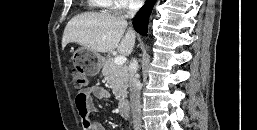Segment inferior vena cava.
Here are the masks:
<instances>
[{"label": "inferior vena cava", "mask_w": 257, "mask_h": 130, "mask_svg": "<svg viewBox=\"0 0 257 130\" xmlns=\"http://www.w3.org/2000/svg\"><path fill=\"white\" fill-rule=\"evenodd\" d=\"M142 0H132L129 6V10L124 18H133L137 10L142 5ZM138 62L136 59H132L129 65V87H130V106L133 117V128L134 130H141V84L139 82L138 74Z\"/></svg>", "instance_id": "obj_1"}]
</instances>
